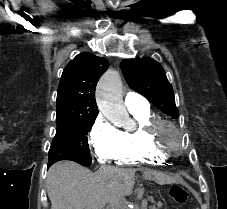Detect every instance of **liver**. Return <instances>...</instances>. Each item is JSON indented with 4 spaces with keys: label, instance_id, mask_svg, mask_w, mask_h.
<instances>
[{
    "label": "liver",
    "instance_id": "obj_1",
    "mask_svg": "<svg viewBox=\"0 0 227 209\" xmlns=\"http://www.w3.org/2000/svg\"><path fill=\"white\" fill-rule=\"evenodd\" d=\"M116 179L133 185V171L100 167L97 173H91L72 161H59L47 173L51 209H103L110 201ZM125 189L127 193L132 191V187Z\"/></svg>",
    "mask_w": 227,
    "mask_h": 209
}]
</instances>
